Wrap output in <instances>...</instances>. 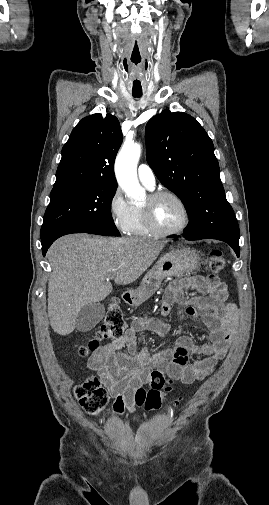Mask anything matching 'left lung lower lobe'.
Segmentation results:
<instances>
[{"label":"left lung lower lobe","instance_id":"left-lung-lower-lobe-1","mask_svg":"<svg viewBox=\"0 0 269 505\" xmlns=\"http://www.w3.org/2000/svg\"><path fill=\"white\" fill-rule=\"evenodd\" d=\"M185 237V236H184ZM187 240H199V239H206V238H199V239H194V238H189L185 237ZM210 239H217L224 241L228 243L236 252L237 256L239 257L240 255V247H239V238L231 237V236H225V235H219V236H212L209 237Z\"/></svg>","mask_w":269,"mask_h":505}]
</instances>
